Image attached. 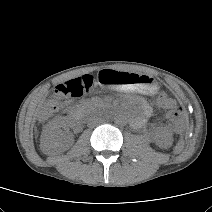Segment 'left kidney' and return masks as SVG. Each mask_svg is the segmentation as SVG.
Listing matches in <instances>:
<instances>
[{"label": "left kidney", "instance_id": "left-kidney-1", "mask_svg": "<svg viewBox=\"0 0 212 212\" xmlns=\"http://www.w3.org/2000/svg\"><path fill=\"white\" fill-rule=\"evenodd\" d=\"M155 142L160 147H168L172 143V135L167 132H160L156 138Z\"/></svg>", "mask_w": 212, "mask_h": 212}]
</instances>
